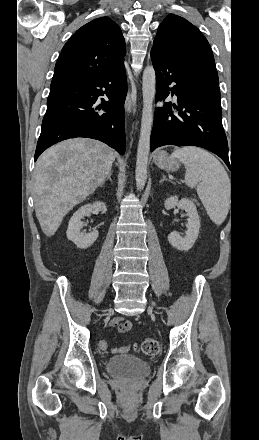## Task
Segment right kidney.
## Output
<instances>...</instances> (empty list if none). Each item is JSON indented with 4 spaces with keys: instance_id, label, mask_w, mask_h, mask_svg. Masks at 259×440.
I'll list each match as a JSON object with an SVG mask.
<instances>
[{
    "instance_id": "ca27d5eb",
    "label": "right kidney",
    "mask_w": 259,
    "mask_h": 440,
    "mask_svg": "<svg viewBox=\"0 0 259 440\" xmlns=\"http://www.w3.org/2000/svg\"><path fill=\"white\" fill-rule=\"evenodd\" d=\"M107 211L105 203L97 201L93 204H87L82 206L78 211H76L71 217L68 229L67 238L72 241L78 248L86 249L90 247L98 238V231L94 230L91 233L81 232L83 228L82 219L86 216H90L92 211Z\"/></svg>"
}]
</instances>
